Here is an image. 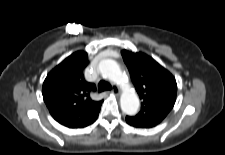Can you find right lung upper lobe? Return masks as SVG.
Returning <instances> with one entry per match:
<instances>
[{
  "instance_id": "obj_1",
  "label": "right lung upper lobe",
  "mask_w": 225,
  "mask_h": 155,
  "mask_svg": "<svg viewBox=\"0 0 225 155\" xmlns=\"http://www.w3.org/2000/svg\"><path fill=\"white\" fill-rule=\"evenodd\" d=\"M88 63L87 53L78 51L57 65L43 83V99L50 114L68 128L92 124L101 108L102 101L90 98L95 85L83 76Z\"/></svg>"
}]
</instances>
